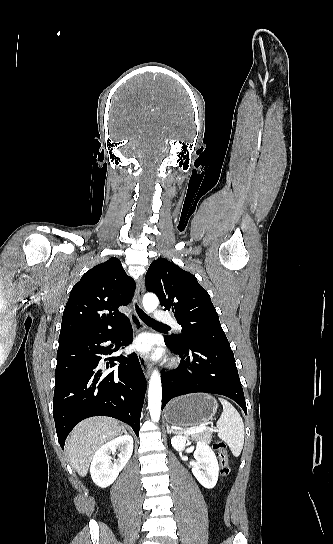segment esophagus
I'll use <instances>...</instances> for the list:
<instances>
[{
	"mask_svg": "<svg viewBox=\"0 0 333 544\" xmlns=\"http://www.w3.org/2000/svg\"><path fill=\"white\" fill-rule=\"evenodd\" d=\"M144 291H145V283H144V279L141 278L137 284V289H136V301L139 306H141ZM131 321L137 331L145 329L144 323L141 321V319L138 317L136 313L132 315ZM139 361L143 369V372L145 374V377L149 378L151 374V365L149 361L142 355H139Z\"/></svg>",
	"mask_w": 333,
	"mask_h": 544,
	"instance_id": "obj_1",
	"label": "esophagus"
}]
</instances>
